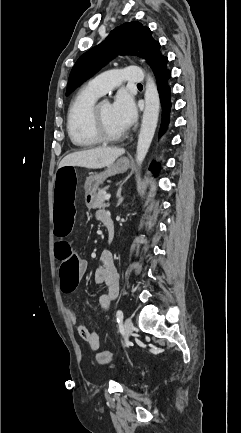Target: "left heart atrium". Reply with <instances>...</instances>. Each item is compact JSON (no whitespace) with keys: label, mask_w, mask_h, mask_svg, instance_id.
<instances>
[{"label":"left heart atrium","mask_w":241,"mask_h":433,"mask_svg":"<svg viewBox=\"0 0 241 433\" xmlns=\"http://www.w3.org/2000/svg\"><path fill=\"white\" fill-rule=\"evenodd\" d=\"M111 106L116 120L124 130L133 125L137 112L133 99L127 93H119Z\"/></svg>","instance_id":"obj_1"}]
</instances>
